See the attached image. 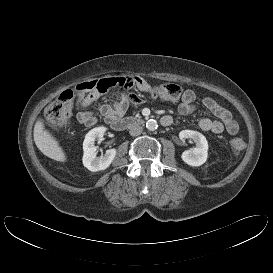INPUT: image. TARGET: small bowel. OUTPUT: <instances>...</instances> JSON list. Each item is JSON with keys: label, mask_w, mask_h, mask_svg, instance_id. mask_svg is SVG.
Segmentation results:
<instances>
[{"label": "small bowel", "mask_w": 273, "mask_h": 273, "mask_svg": "<svg viewBox=\"0 0 273 273\" xmlns=\"http://www.w3.org/2000/svg\"><path fill=\"white\" fill-rule=\"evenodd\" d=\"M137 87L141 92L151 93V87L142 78H137ZM97 96H91L79 103L80 111L77 114V120L85 126H94L97 123V118L93 111L86 108L95 100ZM197 94L195 91L188 89L185 90L181 97V102L178 106L180 115H189L196 111L197 107L195 101ZM141 98L137 94H128L122 96L119 100L115 101L112 105L103 104L99 107V112L106 121L112 117H121L126 114L130 104H138ZM202 105L208 109L216 119L202 118L198 122V126L203 131H210L212 133H222L226 131L230 135H235L239 131L238 123L233 119L229 110L221 106L217 101L211 97H204ZM172 123V118L166 116Z\"/></svg>", "instance_id": "c3829d8e"}]
</instances>
